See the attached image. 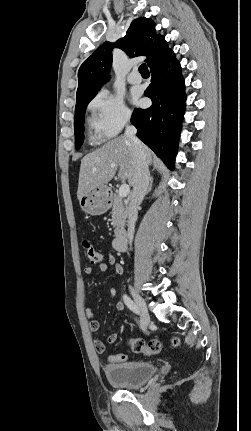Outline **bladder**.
<instances>
[{"label":"bladder","mask_w":251,"mask_h":431,"mask_svg":"<svg viewBox=\"0 0 251 431\" xmlns=\"http://www.w3.org/2000/svg\"><path fill=\"white\" fill-rule=\"evenodd\" d=\"M104 374L108 382L119 388L135 389L155 374V366L148 361H128L110 363L104 366Z\"/></svg>","instance_id":"obj_1"}]
</instances>
